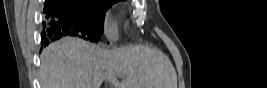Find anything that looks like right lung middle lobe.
Here are the masks:
<instances>
[{"label":"right lung middle lobe","mask_w":267,"mask_h":88,"mask_svg":"<svg viewBox=\"0 0 267 88\" xmlns=\"http://www.w3.org/2000/svg\"><path fill=\"white\" fill-rule=\"evenodd\" d=\"M119 0H46L44 12L53 19L68 20L81 31L99 37L106 11Z\"/></svg>","instance_id":"1"}]
</instances>
